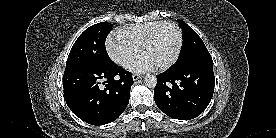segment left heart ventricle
Masks as SVG:
<instances>
[{
    "instance_id": "1",
    "label": "left heart ventricle",
    "mask_w": 276,
    "mask_h": 138,
    "mask_svg": "<svg viewBox=\"0 0 276 138\" xmlns=\"http://www.w3.org/2000/svg\"><path fill=\"white\" fill-rule=\"evenodd\" d=\"M178 41L176 29L172 26H164L153 43L143 51V54L153 59L158 66H162L173 58Z\"/></svg>"
}]
</instances>
